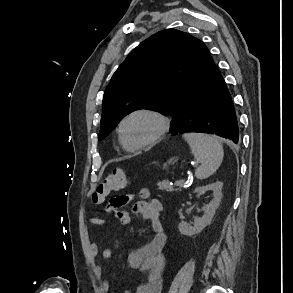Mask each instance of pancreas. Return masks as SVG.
<instances>
[{
    "label": "pancreas",
    "mask_w": 293,
    "mask_h": 293,
    "mask_svg": "<svg viewBox=\"0 0 293 293\" xmlns=\"http://www.w3.org/2000/svg\"><path fill=\"white\" fill-rule=\"evenodd\" d=\"M158 188L159 190H165L167 192H174V191H181V187L174 188V186L170 185L169 180H163L158 182Z\"/></svg>",
    "instance_id": "1"
}]
</instances>
